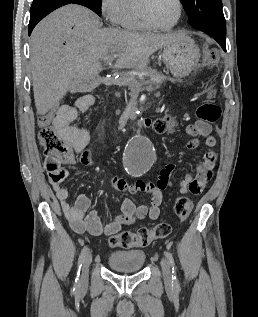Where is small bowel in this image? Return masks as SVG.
I'll return each instance as SVG.
<instances>
[{"instance_id": "small-bowel-1", "label": "small bowel", "mask_w": 258, "mask_h": 317, "mask_svg": "<svg viewBox=\"0 0 258 317\" xmlns=\"http://www.w3.org/2000/svg\"><path fill=\"white\" fill-rule=\"evenodd\" d=\"M95 99L91 95L80 97L74 105H62L53 113L52 124L59 134L73 146L77 153L81 152L90 140V132L86 128L75 126L73 122L80 114L85 113L94 105ZM40 124L43 123L40 121ZM142 124L146 127L153 125L151 120H144ZM186 132L193 137L187 148L193 149L199 145L198 136L205 137L207 151L199 159L195 174L186 173L179 184L181 194H199L203 191L212 177V170L218 161V154L214 150L215 138L211 135V127L204 121H197L186 127ZM84 165H90L91 161L87 152L81 159ZM67 163L57 156H49L45 160V168L49 182L60 203L61 209L68 220L71 228L76 233H89L94 236L113 235L122 228L134 224L136 221L146 217L156 220L160 215L162 202V190L171 189L173 184L169 177L174 169L173 164L165 165L158 176L157 184L138 181L135 184H128L123 178L113 176L110 184L122 192L131 194L146 193L150 195L148 204L136 206L134 202L126 198L122 202L121 213L106 220H102L97 211L91 208L88 197L80 194L73 204L67 202L68 190L62 185L68 176V171L63 167Z\"/></svg>"}]
</instances>
